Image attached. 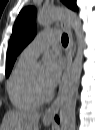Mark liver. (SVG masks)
Segmentation results:
<instances>
[{"label":"liver","mask_w":95,"mask_h":130,"mask_svg":"<svg viewBox=\"0 0 95 130\" xmlns=\"http://www.w3.org/2000/svg\"><path fill=\"white\" fill-rule=\"evenodd\" d=\"M40 117L38 111L9 110L3 118L1 130H38Z\"/></svg>","instance_id":"obj_1"}]
</instances>
